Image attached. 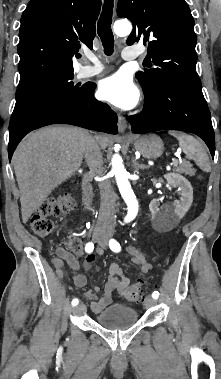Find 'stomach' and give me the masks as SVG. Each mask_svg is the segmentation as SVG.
<instances>
[{
	"label": "stomach",
	"instance_id": "stomach-1",
	"mask_svg": "<svg viewBox=\"0 0 221 379\" xmlns=\"http://www.w3.org/2000/svg\"><path fill=\"white\" fill-rule=\"evenodd\" d=\"M134 147L143 157L148 159L158 158L164 151L161 138L155 134L138 137L134 142Z\"/></svg>",
	"mask_w": 221,
	"mask_h": 379
}]
</instances>
